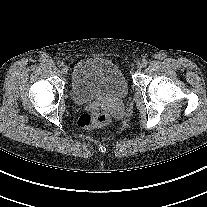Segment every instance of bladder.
I'll use <instances>...</instances> for the list:
<instances>
[{"instance_id":"bladder-1","label":"bladder","mask_w":207,"mask_h":207,"mask_svg":"<svg viewBox=\"0 0 207 207\" xmlns=\"http://www.w3.org/2000/svg\"><path fill=\"white\" fill-rule=\"evenodd\" d=\"M71 96L78 104L124 98L129 91L121 69L102 58L78 61L71 76Z\"/></svg>"}]
</instances>
